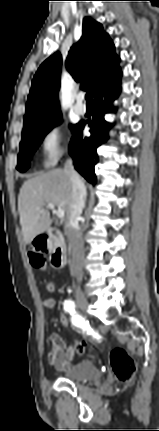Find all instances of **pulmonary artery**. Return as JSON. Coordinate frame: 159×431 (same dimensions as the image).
<instances>
[{"instance_id":"e3ab8cb5","label":"pulmonary artery","mask_w":159,"mask_h":431,"mask_svg":"<svg viewBox=\"0 0 159 431\" xmlns=\"http://www.w3.org/2000/svg\"><path fill=\"white\" fill-rule=\"evenodd\" d=\"M83 101V95L77 96V102L74 105V111L75 113L79 115H84L86 113V106L82 103Z\"/></svg>"}]
</instances>
